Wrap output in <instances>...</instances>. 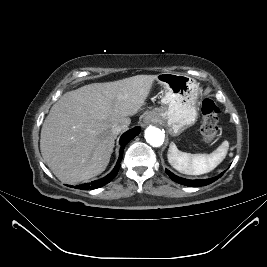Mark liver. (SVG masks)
<instances>
[{
	"instance_id": "obj_1",
	"label": "liver",
	"mask_w": 267,
	"mask_h": 267,
	"mask_svg": "<svg viewBox=\"0 0 267 267\" xmlns=\"http://www.w3.org/2000/svg\"><path fill=\"white\" fill-rule=\"evenodd\" d=\"M157 75L93 83L63 94L51 107L40 139L46 165L63 183L76 184L102 173L113 152L112 128L130 123L150 94Z\"/></svg>"
}]
</instances>
